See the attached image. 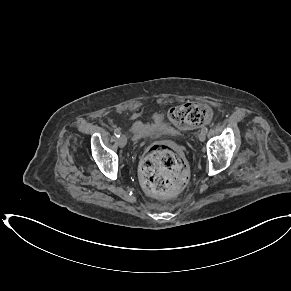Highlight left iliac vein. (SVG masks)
<instances>
[{
  "label": "left iliac vein",
  "instance_id": "left-iliac-vein-1",
  "mask_svg": "<svg viewBox=\"0 0 291 291\" xmlns=\"http://www.w3.org/2000/svg\"><path fill=\"white\" fill-rule=\"evenodd\" d=\"M197 137L201 142L205 141V134L202 133L201 131L198 132Z\"/></svg>",
  "mask_w": 291,
  "mask_h": 291
}]
</instances>
